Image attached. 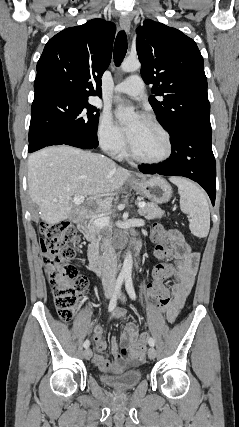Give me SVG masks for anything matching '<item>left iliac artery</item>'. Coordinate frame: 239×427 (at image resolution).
Returning a JSON list of instances; mask_svg holds the SVG:
<instances>
[{"instance_id":"44dca946","label":"left iliac artery","mask_w":239,"mask_h":427,"mask_svg":"<svg viewBox=\"0 0 239 427\" xmlns=\"http://www.w3.org/2000/svg\"><path fill=\"white\" fill-rule=\"evenodd\" d=\"M125 287H126V290H127L128 294H129L130 298L133 299V300H135L136 299V294H135V290H134V287H133L132 278H131L130 275H128V276L125 277ZM148 343H149L150 346L153 347L155 345V340L152 337H150Z\"/></svg>"}]
</instances>
